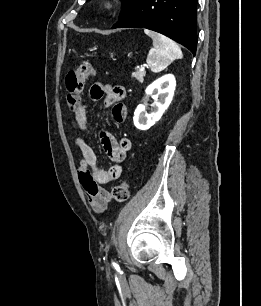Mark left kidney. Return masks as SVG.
I'll use <instances>...</instances> for the list:
<instances>
[{
  "label": "left kidney",
  "instance_id": "1",
  "mask_svg": "<svg viewBox=\"0 0 261 306\" xmlns=\"http://www.w3.org/2000/svg\"><path fill=\"white\" fill-rule=\"evenodd\" d=\"M175 87L174 75L168 74L157 79L146 88L144 104L138 105L134 112L133 122L137 129L148 130L161 119L173 99ZM150 96L154 101L151 104L152 111L148 113L146 109Z\"/></svg>",
  "mask_w": 261,
  "mask_h": 306
}]
</instances>
